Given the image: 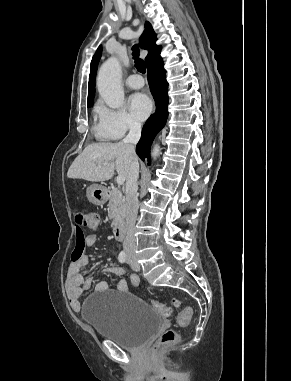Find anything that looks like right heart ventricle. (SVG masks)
<instances>
[{
	"label": "right heart ventricle",
	"mask_w": 291,
	"mask_h": 381,
	"mask_svg": "<svg viewBox=\"0 0 291 381\" xmlns=\"http://www.w3.org/2000/svg\"><path fill=\"white\" fill-rule=\"evenodd\" d=\"M97 110H98V108L96 109V112H97ZM95 131H96V133H97L99 136L104 137V138H107V137L105 136V134L103 133L100 124H96V125H95Z\"/></svg>",
	"instance_id": "right-heart-ventricle-1"
}]
</instances>
